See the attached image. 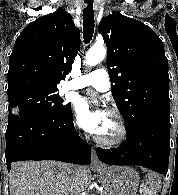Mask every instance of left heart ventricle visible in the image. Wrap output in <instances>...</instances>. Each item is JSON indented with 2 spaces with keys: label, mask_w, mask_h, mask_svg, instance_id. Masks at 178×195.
I'll list each match as a JSON object with an SVG mask.
<instances>
[{
  "label": "left heart ventricle",
  "mask_w": 178,
  "mask_h": 195,
  "mask_svg": "<svg viewBox=\"0 0 178 195\" xmlns=\"http://www.w3.org/2000/svg\"><path fill=\"white\" fill-rule=\"evenodd\" d=\"M117 131L118 128L114 118L108 114L102 128L97 135L103 139H112L116 137Z\"/></svg>",
  "instance_id": "1"
}]
</instances>
